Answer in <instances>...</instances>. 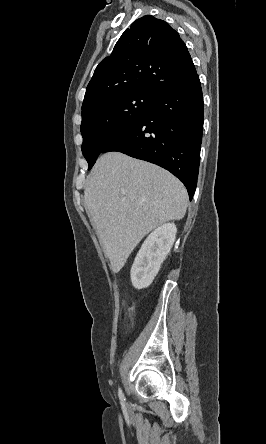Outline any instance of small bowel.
<instances>
[{"label": "small bowel", "mask_w": 266, "mask_h": 444, "mask_svg": "<svg viewBox=\"0 0 266 444\" xmlns=\"http://www.w3.org/2000/svg\"><path fill=\"white\" fill-rule=\"evenodd\" d=\"M129 311H130V313H132V311H133L132 307L129 308Z\"/></svg>", "instance_id": "obj_1"}]
</instances>
